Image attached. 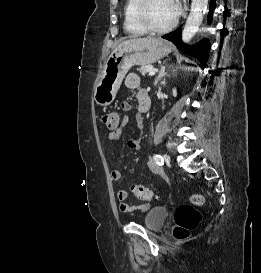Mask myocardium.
I'll use <instances>...</instances> for the list:
<instances>
[{"mask_svg":"<svg viewBox=\"0 0 261 273\" xmlns=\"http://www.w3.org/2000/svg\"><path fill=\"white\" fill-rule=\"evenodd\" d=\"M150 3H151V0H138V4L136 5V8H135V19L137 23L147 32L165 33L172 30L178 22V15L170 24L164 27L153 26L148 21V18H147V9Z\"/></svg>","mask_w":261,"mask_h":273,"instance_id":"obj_1","label":"myocardium"}]
</instances>
